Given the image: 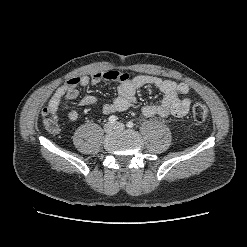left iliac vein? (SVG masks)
I'll return each instance as SVG.
<instances>
[{"instance_id": "1", "label": "left iliac vein", "mask_w": 247, "mask_h": 247, "mask_svg": "<svg viewBox=\"0 0 247 247\" xmlns=\"http://www.w3.org/2000/svg\"><path fill=\"white\" fill-rule=\"evenodd\" d=\"M113 127L115 129H123L125 127V125L122 122H116Z\"/></svg>"}]
</instances>
